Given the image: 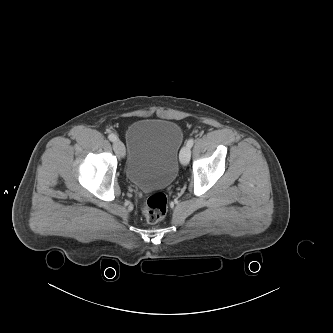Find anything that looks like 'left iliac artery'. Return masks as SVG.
<instances>
[{"label":"left iliac artery","mask_w":333,"mask_h":333,"mask_svg":"<svg viewBox=\"0 0 333 333\" xmlns=\"http://www.w3.org/2000/svg\"><path fill=\"white\" fill-rule=\"evenodd\" d=\"M193 144H194V139L192 138V139H189L188 141H187V144H186V146H188V147H192L193 146Z\"/></svg>","instance_id":"44dca946"}]
</instances>
